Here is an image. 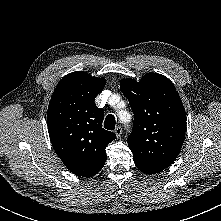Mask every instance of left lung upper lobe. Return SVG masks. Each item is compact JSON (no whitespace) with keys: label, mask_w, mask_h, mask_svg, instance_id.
Returning a JSON list of instances; mask_svg holds the SVG:
<instances>
[{"label":"left lung upper lobe","mask_w":221,"mask_h":221,"mask_svg":"<svg viewBox=\"0 0 221 221\" xmlns=\"http://www.w3.org/2000/svg\"><path fill=\"white\" fill-rule=\"evenodd\" d=\"M120 89L134 114L127 142L136 166L165 169L177 158L185 137L186 112L173 83L148 73L137 82L123 79Z\"/></svg>","instance_id":"1"}]
</instances>
